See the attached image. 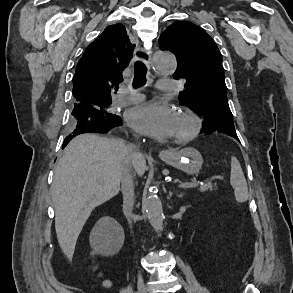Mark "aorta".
<instances>
[{
    "mask_svg": "<svg viewBox=\"0 0 293 293\" xmlns=\"http://www.w3.org/2000/svg\"><path fill=\"white\" fill-rule=\"evenodd\" d=\"M176 60L172 53L158 50L154 53V69L157 73H170L175 69ZM144 207L151 226L162 229L164 214L159 196L150 190L144 198Z\"/></svg>",
    "mask_w": 293,
    "mask_h": 293,
    "instance_id": "1",
    "label": "aorta"
}]
</instances>
